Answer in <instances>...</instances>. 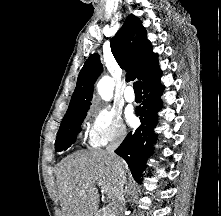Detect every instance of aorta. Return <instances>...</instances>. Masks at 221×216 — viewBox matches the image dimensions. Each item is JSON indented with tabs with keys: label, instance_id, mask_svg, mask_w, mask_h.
Listing matches in <instances>:
<instances>
[{
	"label": "aorta",
	"instance_id": "obj_1",
	"mask_svg": "<svg viewBox=\"0 0 221 216\" xmlns=\"http://www.w3.org/2000/svg\"><path fill=\"white\" fill-rule=\"evenodd\" d=\"M98 93L105 101L113 97L114 82L109 76H104L97 84Z\"/></svg>",
	"mask_w": 221,
	"mask_h": 216
}]
</instances>
